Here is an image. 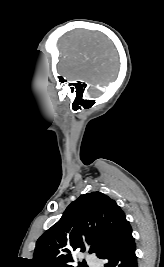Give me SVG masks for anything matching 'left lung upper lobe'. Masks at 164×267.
Segmentation results:
<instances>
[{"label": "left lung upper lobe", "mask_w": 164, "mask_h": 267, "mask_svg": "<svg viewBox=\"0 0 164 267\" xmlns=\"http://www.w3.org/2000/svg\"><path fill=\"white\" fill-rule=\"evenodd\" d=\"M127 222L124 212L107 195L92 192L72 202L61 219L37 240L32 267H73L71 252L98 257ZM78 267H87L85 261Z\"/></svg>", "instance_id": "1"}]
</instances>
